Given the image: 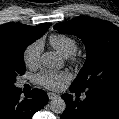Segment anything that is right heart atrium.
I'll return each mask as SVG.
<instances>
[{
    "mask_svg": "<svg viewBox=\"0 0 119 119\" xmlns=\"http://www.w3.org/2000/svg\"><path fill=\"white\" fill-rule=\"evenodd\" d=\"M42 53V43L40 40H36L29 44L23 52V61L29 68H35L40 61Z\"/></svg>",
    "mask_w": 119,
    "mask_h": 119,
    "instance_id": "d8ad5b80",
    "label": "right heart atrium"
}]
</instances>
